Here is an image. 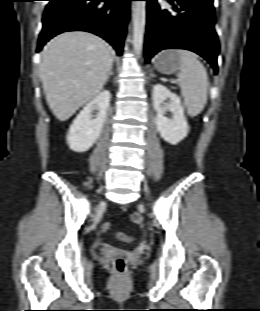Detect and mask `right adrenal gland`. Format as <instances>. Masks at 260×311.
Here are the masks:
<instances>
[{
	"label": "right adrenal gland",
	"instance_id": "obj_1",
	"mask_svg": "<svg viewBox=\"0 0 260 311\" xmlns=\"http://www.w3.org/2000/svg\"><path fill=\"white\" fill-rule=\"evenodd\" d=\"M113 62H114V60L112 61L111 68H110V70H109V72L107 74V78H106L105 84L108 82L109 78L113 75V71H112V69H113Z\"/></svg>",
	"mask_w": 260,
	"mask_h": 311
}]
</instances>
